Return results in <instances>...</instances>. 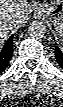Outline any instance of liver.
I'll return each mask as SVG.
<instances>
[{"label":"liver","mask_w":63,"mask_h":107,"mask_svg":"<svg viewBox=\"0 0 63 107\" xmlns=\"http://www.w3.org/2000/svg\"><path fill=\"white\" fill-rule=\"evenodd\" d=\"M31 12L30 4L27 0H0V43H4L12 27L2 24V20L9 16L16 17L15 25L27 21ZM14 25V26H15Z\"/></svg>","instance_id":"6515ba94"}]
</instances>
